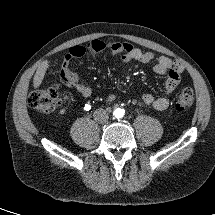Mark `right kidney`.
Returning <instances> with one entry per match:
<instances>
[{"label": "right kidney", "mask_w": 215, "mask_h": 215, "mask_svg": "<svg viewBox=\"0 0 215 215\" xmlns=\"http://www.w3.org/2000/svg\"><path fill=\"white\" fill-rule=\"evenodd\" d=\"M66 109H67V108H62L58 113H59L60 115H63V114L66 113Z\"/></svg>", "instance_id": "ca27d5eb"}]
</instances>
